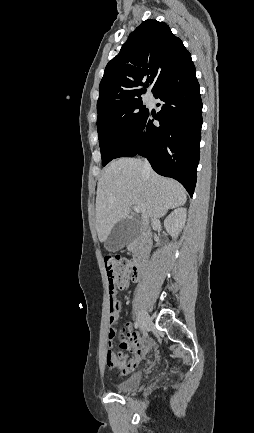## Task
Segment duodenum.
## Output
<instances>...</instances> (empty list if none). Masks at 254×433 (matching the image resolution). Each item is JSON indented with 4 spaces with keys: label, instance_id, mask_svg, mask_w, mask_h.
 <instances>
[{
    "label": "duodenum",
    "instance_id": "410a0bca",
    "mask_svg": "<svg viewBox=\"0 0 254 433\" xmlns=\"http://www.w3.org/2000/svg\"><path fill=\"white\" fill-rule=\"evenodd\" d=\"M152 234L148 232L136 243L131 244L130 249L135 253L132 261V275L134 280H139L143 274L149 257Z\"/></svg>",
    "mask_w": 254,
    "mask_h": 433
}]
</instances>
